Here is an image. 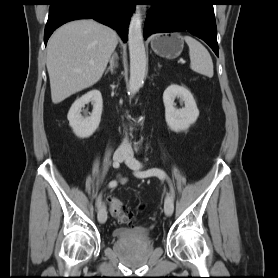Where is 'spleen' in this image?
I'll use <instances>...</instances> for the list:
<instances>
[{
    "mask_svg": "<svg viewBox=\"0 0 278 278\" xmlns=\"http://www.w3.org/2000/svg\"><path fill=\"white\" fill-rule=\"evenodd\" d=\"M184 40L189 47L191 69L209 78L213 77V62L207 49L191 36H184Z\"/></svg>",
    "mask_w": 278,
    "mask_h": 278,
    "instance_id": "spleen-1",
    "label": "spleen"
}]
</instances>
